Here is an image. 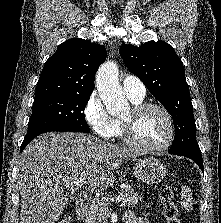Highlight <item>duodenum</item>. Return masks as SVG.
<instances>
[{"label": "duodenum", "instance_id": "1", "mask_svg": "<svg viewBox=\"0 0 221 223\" xmlns=\"http://www.w3.org/2000/svg\"><path fill=\"white\" fill-rule=\"evenodd\" d=\"M89 211V204L84 200H78L76 203V216L79 220H84Z\"/></svg>", "mask_w": 221, "mask_h": 223}]
</instances>
